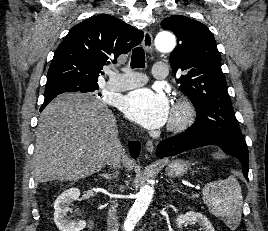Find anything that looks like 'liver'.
Returning a JSON list of instances; mask_svg holds the SVG:
<instances>
[{
    "mask_svg": "<svg viewBox=\"0 0 268 231\" xmlns=\"http://www.w3.org/2000/svg\"><path fill=\"white\" fill-rule=\"evenodd\" d=\"M114 158L132 167L118 138L115 116L100 100L65 93L40 114L33 154L36 182L77 181L99 172Z\"/></svg>",
    "mask_w": 268,
    "mask_h": 231,
    "instance_id": "1",
    "label": "liver"
}]
</instances>
